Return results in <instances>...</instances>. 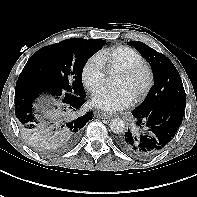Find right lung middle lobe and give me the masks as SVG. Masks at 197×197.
Masks as SVG:
<instances>
[{"instance_id": "dd1d6c3e", "label": "right lung middle lobe", "mask_w": 197, "mask_h": 197, "mask_svg": "<svg viewBox=\"0 0 197 197\" xmlns=\"http://www.w3.org/2000/svg\"><path fill=\"white\" fill-rule=\"evenodd\" d=\"M105 43L100 39L72 38L43 47L28 60L21 73L53 80L64 93L85 97L83 68Z\"/></svg>"}]
</instances>
